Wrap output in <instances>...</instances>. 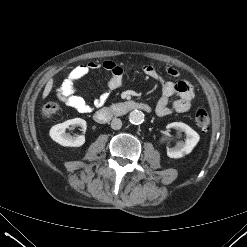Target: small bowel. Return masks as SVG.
<instances>
[{
    "label": "small bowel",
    "instance_id": "c3829d8e",
    "mask_svg": "<svg viewBox=\"0 0 247 247\" xmlns=\"http://www.w3.org/2000/svg\"><path fill=\"white\" fill-rule=\"evenodd\" d=\"M103 68L111 73L107 83V91L94 99L93 105H89L83 97L77 94L75 84L85 77L90 71ZM142 71L145 76L158 81L161 85V97L156 103L155 112L158 116H167L172 112L184 113L191 109L195 98L194 88L187 81H164L159 76L153 65H144ZM166 72L171 77H177L178 71L173 67H167ZM123 69L113 61H90L80 64L72 69L62 85L57 89L58 98L67 106L75 110L88 113L93 107H100L110 96V93L119 89L123 84ZM177 96V99L170 104L169 99Z\"/></svg>",
    "mask_w": 247,
    "mask_h": 247
}]
</instances>
